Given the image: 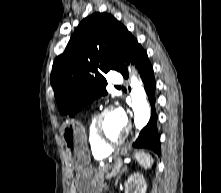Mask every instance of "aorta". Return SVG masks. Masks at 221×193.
Returning <instances> with one entry per match:
<instances>
[{"label": "aorta", "instance_id": "aorta-1", "mask_svg": "<svg viewBox=\"0 0 221 193\" xmlns=\"http://www.w3.org/2000/svg\"><path fill=\"white\" fill-rule=\"evenodd\" d=\"M132 71L130 77L132 109L134 111V124L137 129H142L150 119V107L146 100V93L142 87L141 81L137 77L136 71Z\"/></svg>", "mask_w": 221, "mask_h": 193}]
</instances>
